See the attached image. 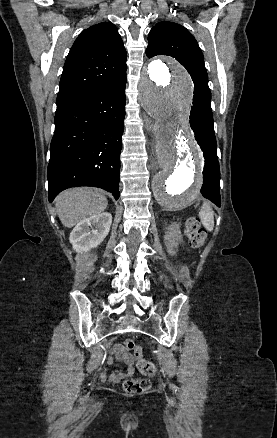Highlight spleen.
Returning a JSON list of instances; mask_svg holds the SVG:
<instances>
[{"label":"spleen","mask_w":277,"mask_h":438,"mask_svg":"<svg viewBox=\"0 0 277 438\" xmlns=\"http://www.w3.org/2000/svg\"><path fill=\"white\" fill-rule=\"evenodd\" d=\"M199 216L204 228H206L208 232H212L214 228V216H213L212 208L211 206H209V204H207V202L203 204L199 212Z\"/></svg>","instance_id":"1"}]
</instances>
